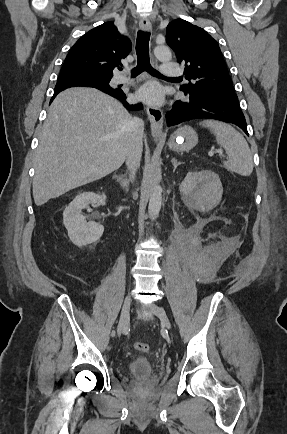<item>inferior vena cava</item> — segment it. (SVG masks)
I'll use <instances>...</instances> for the list:
<instances>
[{
  "label": "inferior vena cava",
  "instance_id": "602c4592",
  "mask_svg": "<svg viewBox=\"0 0 287 434\" xmlns=\"http://www.w3.org/2000/svg\"><path fill=\"white\" fill-rule=\"evenodd\" d=\"M131 142L126 156V165L130 171V177H135L136 171L140 166L142 156V138L144 133V121L134 117L131 121Z\"/></svg>",
  "mask_w": 287,
  "mask_h": 434
}]
</instances>
